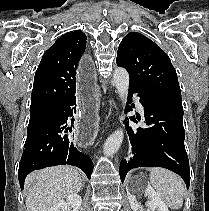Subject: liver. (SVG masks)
Returning a JSON list of instances; mask_svg holds the SVG:
<instances>
[{
  "label": "liver",
  "instance_id": "liver-1",
  "mask_svg": "<svg viewBox=\"0 0 209 211\" xmlns=\"http://www.w3.org/2000/svg\"><path fill=\"white\" fill-rule=\"evenodd\" d=\"M25 186L28 189L27 211H48L59 201L78 193L82 179L76 168L54 166L30 173Z\"/></svg>",
  "mask_w": 209,
  "mask_h": 211
}]
</instances>
